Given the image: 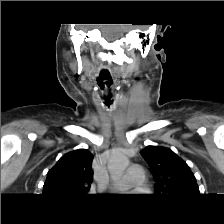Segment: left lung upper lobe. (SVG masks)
<instances>
[{"label":"left lung upper lobe","instance_id":"1","mask_svg":"<svg viewBox=\"0 0 224 224\" xmlns=\"http://www.w3.org/2000/svg\"><path fill=\"white\" fill-rule=\"evenodd\" d=\"M155 179V195L188 197L199 195L196 178L189 166L171 149L147 146L140 151Z\"/></svg>","mask_w":224,"mask_h":224}]
</instances>
